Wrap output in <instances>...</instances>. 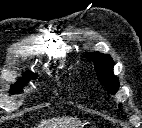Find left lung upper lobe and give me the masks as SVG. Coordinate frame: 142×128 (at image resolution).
I'll return each instance as SVG.
<instances>
[{"instance_id":"5c2ea615","label":"left lung upper lobe","mask_w":142,"mask_h":128,"mask_svg":"<svg viewBox=\"0 0 142 128\" xmlns=\"http://www.w3.org/2000/svg\"><path fill=\"white\" fill-rule=\"evenodd\" d=\"M85 57L94 62L95 71L98 80L105 86L107 92L115 94L119 88V81L113 75L114 62L109 55H103L96 52L94 55H85Z\"/></svg>"}]
</instances>
